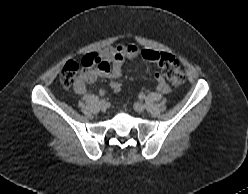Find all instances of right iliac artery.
Here are the masks:
<instances>
[{"mask_svg":"<svg viewBox=\"0 0 248 194\" xmlns=\"http://www.w3.org/2000/svg\"><path fill=\"white\" fill-rule=\"evenodd\" d=\"M102 95H104V94H102ZM103 100H104V99H101L100 102L103 101Z\"/></svg>","mask_w":248,"mask_h":194,"instance_id":"82829eb1","label":"right iliac artery"}]
</instances>
